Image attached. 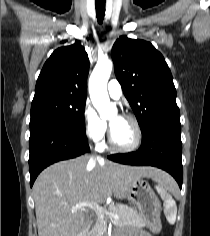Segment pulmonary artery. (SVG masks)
Returning <instances> with one entry per match:
<instances>
[{"instance_id": "e3ab8cb5", "label": "pulmonary artery", "mask_w": 210, "mask_h": 236, "mask_svg": "<svg viewBox=\"0 0 210 236\" xmlns=\"http://www.w3.org/2000/svg\"><path fill=\"white\" fill-rule=\"evenodd\" d=\"M107 91L113 99H119L122 96V88L117 80H111L108 83Z\"/></svg>"}]
</instances>
